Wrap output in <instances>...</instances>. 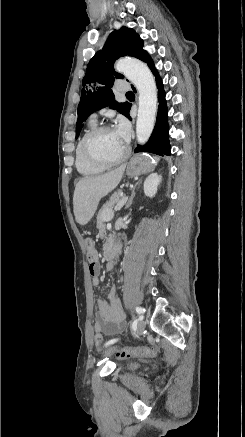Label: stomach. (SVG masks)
Here are the masks:
<instances>
[{
	"instance_id": "0dacf381",
	"label": "stomach",
	"mask_w": 245,
	"mask_h": 437,
	"mask_svg": "<svg viewBox=\"0 0 245 437\" xmlns=\"http://www.w3.org/2000/svg\"><path fill=\"white\" fill-rule=\"evenodd\" d=\"M152 158L147 155H136L131 158L127 165L126 174L129 177H136L153 170Z\"/></svg>"
}]
</instances>
